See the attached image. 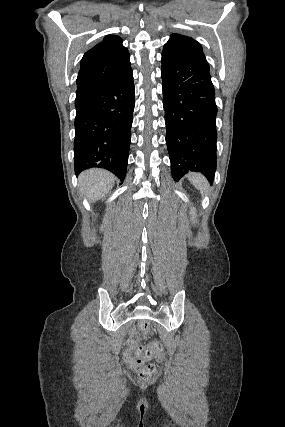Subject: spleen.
<instances>
[{
  "mask_svg": "<svg viewBox=\"0 0 285 427\" xmlns=\"http://www.w3.org/2000/svg\"><path fill=\"white\" fill-rule=\"evenodd\" d=\"M188 179L202 194L207 193L208 182L204 176L198 173H190L188 174Z\"/></svg>",
  "mask_w": 285,
  "mask_h": 427,
  "instance_id": "spleen-1",
  "label": "spleen"
}]
</instances>
